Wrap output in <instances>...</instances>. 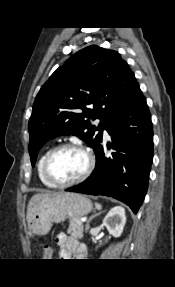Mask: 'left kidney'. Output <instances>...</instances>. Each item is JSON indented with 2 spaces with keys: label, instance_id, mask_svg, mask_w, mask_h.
<instances>
[{
  "label": "left kidney",
  "instance_id": "left-kidney-1",
  "mask_svg": "<svg viewBox=\"0 0 175 287\" xmlns=\"http://www.w3.org/2000/svg\"><path fill=\"white\" fill-rule=\"evenodd\" d=\"M125 223V209L121 206L112 208L103 219V225L107 228L109 234L114 237L121 236Z\"/></svg>",
  "mask_w": 175,
  "mask_h": 287
}]
</instances>
